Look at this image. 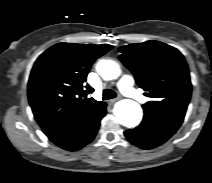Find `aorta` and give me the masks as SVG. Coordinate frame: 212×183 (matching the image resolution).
<instances>
[{"label": "aorta", "instance_id": "obj_1", "mask_svg": "<svg viewBox=\"0 0 212 183\" xmlns=\"http://www.w3.org/2000/svg\"><path fill=\"white\" fill-rule=\"evenodd\" d=\"M99 75L104 80H112L119 76L120 67L113 60H102L97 66ZM114 114L118 122L128 128L137 126L142 119V109L133 100L124 99L115 105Z\"/></svg>", "mask_w": 212, "mask_h": 183}]
</instances>
